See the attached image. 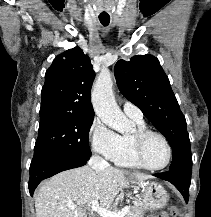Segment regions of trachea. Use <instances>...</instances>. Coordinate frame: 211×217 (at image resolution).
Here are the masks:
<instances>
[{
    "label": "trachea",
    "instance_id": "1",
    "mask_svg": "<svg viewBox=\"0 0 211 217\" xmlns=\"http://www.w3.org/2000/svg\"><path fill=\"white\" fill-rule=\"evenodd\" d=\"M99 20L103 26H108L110 23V17H99Z\"/></svg>",
    "mask_w": 211,
    "mask_h": 217
}]
</instances>
